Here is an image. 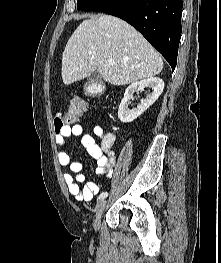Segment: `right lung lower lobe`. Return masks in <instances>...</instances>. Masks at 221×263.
I'll list each match as a JSON object with an SVG mask.
<instances>
[{
  "label": "right lung lower lobe",
  "mask_w": 221,
  "mask_h": 263,
  "mask_svg": "<svg viewBox=\"0 0 221 263\" xmlns=\"http://www.w3.org/2000/svg\"><path fill=\"white\" fill-rule=\"evenodd\" d=\"M182 7V0H103L93 11L119 17L134 26L174 70Z\"/></svg>",
  "instance_id": "right-lung-lower-lobe-1"
}]
</instances>
